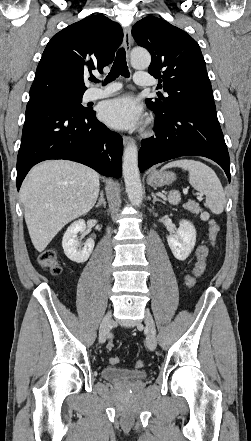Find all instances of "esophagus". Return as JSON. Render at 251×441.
Masks as SVG:
<instances>
[{"mask_svg": "<svg viewBox=\"0 0 251 441\" xmlns=\"http://www.w3.org/2000/svg\"><path fill=\"white\" fill-rule=\"evenodd\" d=\"M131 45H132L131 28L130 27H125L124 28V48H125V51L127 53V56L130 53ZM122 139H123V144L125 146L130 145L133 142V140H132V138L130 136H125L124 135L122 137Z\"/></svg>", "mask_w": 251, "mask_h": 441, "instance_id": "esophagus-1", "label": "esophagus"}]
</instances>
